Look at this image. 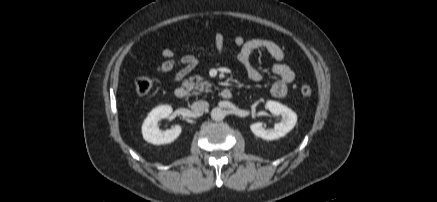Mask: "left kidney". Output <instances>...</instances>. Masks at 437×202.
Wrapping results in <instances>:
<instances>
[{"mask_svg": "<svg viewBox=\"0 0 437 202\" xmlns=\"http://www.w3.org/2000/svg\"><path fill=\"white\" fill-rule=\"evenodd\" d=\"M266 107L272 114L281 116V121L275 124L274 129L268 130L265 129L260 122L251 124L250 129L254 135L264 140H275L285 136L294 128L297 122L295 112L275 101H268Z\"/></svg>", "mask_w": 437, "mask_h": 202, "instance_id": "5707ae66", "label": "left kidney"}]
</instances>
